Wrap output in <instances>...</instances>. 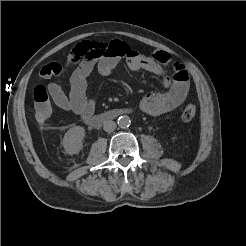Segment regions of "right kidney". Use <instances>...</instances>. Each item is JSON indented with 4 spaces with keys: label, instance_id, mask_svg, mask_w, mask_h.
<instances>
[{
    "label": "right kidney",
    "instance_id": "right-kidney-1",
    "mask_svg": "<svg viewBox=\"0 0 246 246\" xmlns=\"http://www.w3.org/2000/svg\"><path fill=\"white\" fill-rule=\"evenodd\" d=\"M85 130L81 126L70 128L64 135L62 145L69 155L78 154L83 148Z\"/></svg>",
    "mask_w": 246,
    "mask_h": 246
}]
</instances>
